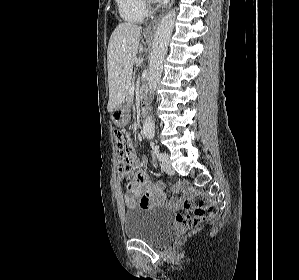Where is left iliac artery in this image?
Masks as SVG:
<instances>
[{
    "mask_svg": "<svg viewBox=\"0 0 299 280\" xmlns=\"http://www.w3.org/2000/svg\"><path fill=\"white\" fill-rule=\"evenodd\" d=\"M155 150L157 151V158L162 161L166 158V154L159 152L158 146H154Z\"/></svg>",
    "mask_w": 299,
    "mask_h": 280,
    "instance_id": "left-iliac-artery-1",
    "label": "left iliac artery"
}]
</instances>
